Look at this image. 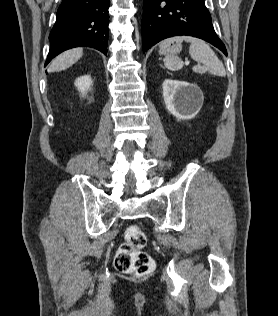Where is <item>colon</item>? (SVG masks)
<instances>
[{
    "mask_svg": "<svg viewBox=\"0 0 278 316\" xmlns=\"http://www.w3.org/2000/svg\"><path fill=\"white\" fill-rule=\"evenodd\" d=\"M146 245V235L138 225H130L125 231V242L119 247L114 265L126 274L145 276L155 267L153 258L143 250Z\"/></svg>",
    "mask_w": 278,
    "mask_h": 316,
    "instance_id": "5ec220e1",
    "label": "colon"
}]
</instances>
